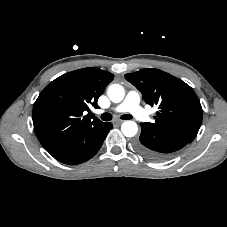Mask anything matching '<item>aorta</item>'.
<instances>
[{"instance_id":"aorta-1","label":"aorta","mask_w":227,"mask_h":227,"mask_svg":"<svg viewBox=\"0 0 227 227\" xmlns=\"http://www.w3.org/2000/svg\"><path fill=\"white\" fill-rule=\"evenodd\" d=\"M107 95L112 102L119 103L125 97V90L119 84H112L108 87ZM121 131L126 137H134L138 132V125L132 120L125 121L121 125Z\"/></svg>"}]
</instances>
